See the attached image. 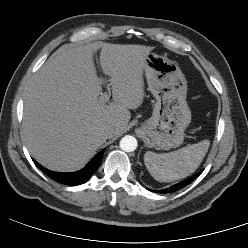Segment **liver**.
<instances>
[{"mask_svg":"<svg viewBox=\"0 0 248 248\" xmlns=\"http://www.w3.org/2000/svg\"><path fill=\"white\" fill-rule=\"evenodd\" d=\"M108 76L113 102L101 98L93 53ZM154 49L143 45L93 43L60 47L32 77L24 100L23 138L30 154L44 167L60 172L82 168L115 128L127 130L129 109L144 99L145 58Z\"/></svg>","mask_w":248,"mask_h":248,"instance_id":"liver-1","label":"liver"}]
</instances>
